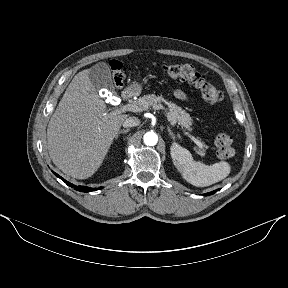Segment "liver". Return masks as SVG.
Wrapping results in <instances>:
<instances>
[{
    "label": "liver",
    "instance_id": "6515ba94",
    "mask_svg": "<svg viewBox=\"0 0 288 288\" xmlns=\"http://www.w3.org/2000/svg\"><path fill=\"white\" fill-rule=\"evenodd\" d=\"M86 69L74 76L47 128L49 156L65 174L91 177L128 117L107 113V107L89 79Z\"/></svg>",
    "mask_w": 288,
    "mask_h": 288
}]
</instances>
